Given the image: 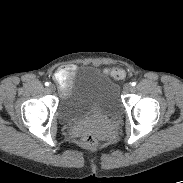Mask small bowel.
I'll return each instance as SVG.
<instances>
[{
    "label": "small bowel",
    "mask_w": 183,
    "mask_h": 183,
    "mask_svg": "<svg viewBox=\"0 0 183 183\" xmlns=\"http://www.w3.org/2000/svg\"><path fill=\"white\" fill-rule=\"evenodd\" d=\"M74 71H75L74 66H66V67L60 69L58 72H64V73L68 72L71 74V79H72ZM70 85H71V80L68 82L67 86L62 89V91H64V92L67 91L70 88Z\"/></svg>",
    "instance_id": "1"
}]
</instances>
